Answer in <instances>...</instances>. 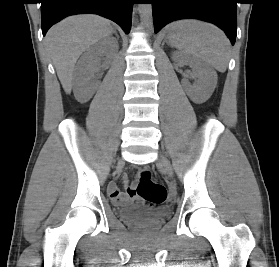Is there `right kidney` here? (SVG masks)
<instances>
[{"label": "right kidney", "mask_w": 279, "mask_h": 267, "mask_svg": "<svg viewBox=\"0 0 279 267\" xmlns=\"http://www.w3.org/2000/svg\"><path fill=\"white\" fill-rule=\"evenodd\" d=\"M117 51L118 44L114 39L102 40L87 49L74 77V93L78 101L87 102L95 93L96 81L92 73L99 63L97 57L102 53L112 57Z\"/></svg>", "instance_id": "ca27d5eb"}]
</instances>
